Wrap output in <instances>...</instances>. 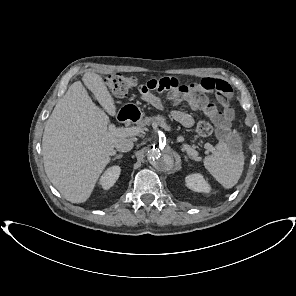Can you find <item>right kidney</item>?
Returning a JSON list of instances; mask_svg holds the SVG:
<instances>
[{"mask_svg": "<svg viewBox=\"0 0 296 296\" xmlns=\"http://www.w3.org/2000/svg\"><path fill=\"white\" fill-rule=\"evenodd\" d=\"M120 172L121 169L117 165L108 168L101 176L99 184L102 186L103 189H109L115 184V182L119 178Z\"/></svg>", "mask_w": 296, "mask_h": 296, "instance_id": "1", "label": "right kidney"}]
</instances>
